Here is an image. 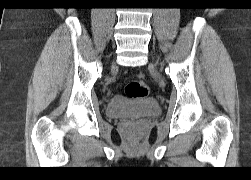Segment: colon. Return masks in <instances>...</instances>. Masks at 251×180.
<instances>
[{"label":"colon","instance_id":"1","mask_svg":"<svg viewBox=\"0 0 251 180\" xmlns=\"http://www.w3.org/2000/svg\"><path fill=\"white\" fill-rule=\"evenodd\" d=\"M130 98H144L149 94V86L144 81L132 80L125 87Z\"/></svg>","mask_w":251,"mask_h":180}]
</instances>
